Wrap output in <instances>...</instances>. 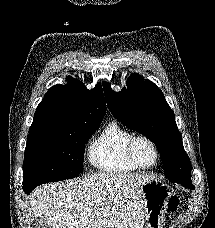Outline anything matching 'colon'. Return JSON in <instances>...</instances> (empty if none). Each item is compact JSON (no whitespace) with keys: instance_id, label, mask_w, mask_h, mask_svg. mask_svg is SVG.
<instances>
[{"instance_id":"obj_1","label":"colon","mask_w":215,"mask_h":228,"mask_svg":"<svg viewBox=\"0 0 215 228\" xmlns=\"http://www.w3.org/2000/svg\"><path fill=\"white\" fill-rule=\"evenodd\" d=\"M179 205L178 196H173L168 200V212L173 213Z\"/></svg>"}]
</instances>
